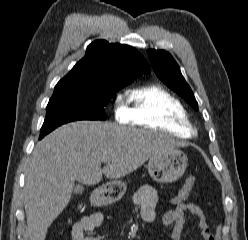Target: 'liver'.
I'll use <instances>...</instances> for the list:
<instances>
[{
    "mask_svg": "<svg viewBox=\"0 0 248 240\" xmlns=\"http://www.w3.org/2000/svg\"><path fill=\"white\" fill-rule=\"evenodd\" d=\"M177 146L183 144L163 134L108 122L79 121L57 128L37 143L26 170L24 207L30 240L45 239L69 203L75 181L96 185L103 174L119 179Z\"/></svg>",
    "mask_w": 248,
    "mask_h": 240,
    "instance_id": "liver-1",
    "label": "liver"
}]
</instances>
